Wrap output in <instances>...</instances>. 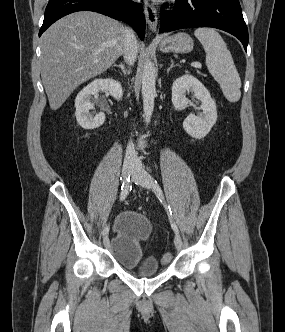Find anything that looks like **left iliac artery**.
Returning a JSON list of instances; mask_svg holds the SVG:
<instances>
[{
	"mask_svg": "<svg viewBox=\"0 0 285 332\" xmlns=\"http://www.w3.org/2000/svg\"><path fill=\"white\" fill-rule=\"evenodd\" d=\"M153 188H154L155 194L157 195L158 199L163 203L165 209L167 210V213H168V216H169V220H170V224H171V227H172L173 231H174L176 234H178V233H179V230H178L177 225H176L175 222L173 221L171 208H170V206H167V204L165 203L164 195H163L162 189L160 188V186H159V184L157 183V181L154 180V179H153Z\"/></svg>",
	"mask_w": 285,
	"mask_h": 332,
	"instance_id": "1",
	"label": "left iliac artery"
}]
</instances>
